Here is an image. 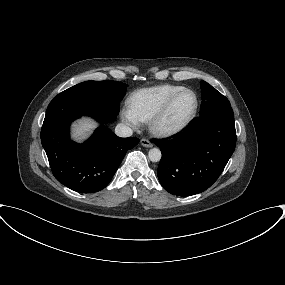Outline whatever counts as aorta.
Masks as SVG:
<instances>
[{"mask_svg":"<svg viewBox=\"0 0 285 285\" xmlns=\"http://www.w3.org/2000/svg\"><path fill=\"white\" fill-rule=\"evenodd\" d=\"M161 156H162L161 151L158 148H152L148 152V157H149L150 161H152V162L160 161Z\"/></svg>","mask_w":285,"mask_h":285,"instance_id":"762f6f07","label":"aorta"}]
</instances>
